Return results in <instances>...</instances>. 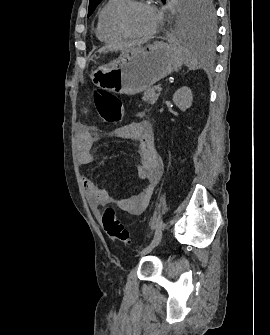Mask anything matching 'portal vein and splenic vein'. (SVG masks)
I'll use <instances>...</instances> for the list:
<instances>
[{
    "instance_id": "1",
    "label": "portal vein and splenic vein",
    "mask_w": 270,
    "mask_h": 335,
    "mask_svg": "<svg viewBox=\"0 0 270 335\" xmlns=\"http://www.w3.org/2000/svg\"><path fill=\"white\" fill-rule=\"evenodd\" d=\"M162 88H163V87H160V86H158V87L156 88V89H157V91H156V92H157L158 94H160V93L162 92V91H161V90H162Z\"/></svg>"
}]
</instances>
